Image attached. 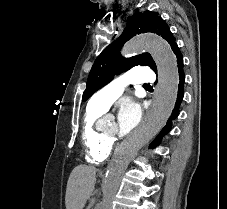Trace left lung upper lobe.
Here are the masks:
<instances>
[{"label":"left lung upper lobe","instance_id":"5c2ea615","mask_svg":"<svg viewBox=\"0 0 227 209\" xmlns=\"http://www.w3.org/2000/svg\"><path fill=\"white\" fill-rule=\"evenodd\" d=\"M147 32L155 33L164 38L170 44L173 52L178 47L167 23L159 17L158 13L145 11L129 16L122 34L95 60L82 96L83 101L89 99L97 90L109 83L115 74H120L134 66H149L154 72H157L156 64L149 53H142L129 59L120 55V49L126 41L137 34Z\"/></svg>","mask_w":227,"mask_h":209}]
</instances>
